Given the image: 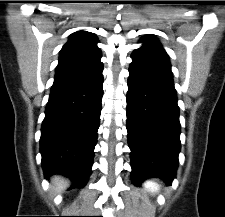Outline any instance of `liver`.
Segmentation results:
<instances>
[{"label": "liver", "instance_id": "obj_1", "mask_svg": "<svg viewBox=\"0 0 225 217\" xmlns=\"http://www.w3.org/2000/svg\"><path fill=\"white\" fill-rule=\"evenodd\" d=\"M51 182L57 192H63L69 186V181L60 176H54Z\"/></svg>", "mask_w": 225, "mask_h": 217}]
</instances>
